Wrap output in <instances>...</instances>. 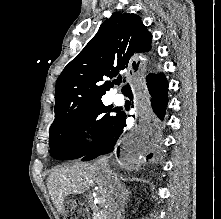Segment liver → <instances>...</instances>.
<instances>
[{"label":"liver","instance_id":"liver-1","mask_svg":"<svg viewBox=\"0 0 221 219\" xmlns=\"http://www.w3.org/2000/svg\"><path fill=\"white\" fill-rule=\"evenodd\" d=\"M112 175L103 173L98 161L94 163L73 164L54 169L47 179L51 200L59 213L64 210V199L70 194H83L90 186L97 184L98 200L108 210L115 199V192L124 191L121 178L112 171ZM108 212V211H107Z\"/></svg>","mask_w":221,"mask_h":219}]
</instances>
